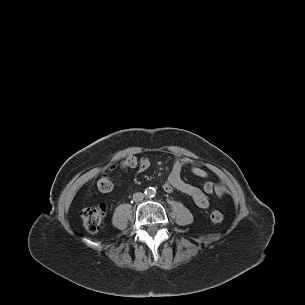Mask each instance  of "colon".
Returning <instances> with one entry per match:
<instances>
[{"mask_svg":"<svg viewBox=\"0 0 305 305\" xmlns=\"http://www.w3.org/2000/svg\"><path fill=\"white\" fill-rule=\"evenodd\" d=\"M140 159L135 153H128L119 161V163L112 166L113 171H128L139 165ZM98 188L101 192H109L113 189L112 178L105 174L98 181ZM106 215V208L104 205L96 207H87L81 211V217L83 220L84 227L90 233L97 232L103 225L104 218ZM223 219V215L218 210H213L210 213V220L212 223H220Z\"/></svg>","mask_w":305,"mask_h":305,"instance_id":"obj_1","label":"colon"}]
</instances>
